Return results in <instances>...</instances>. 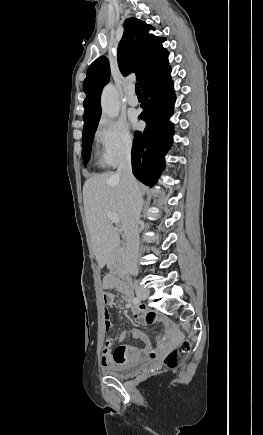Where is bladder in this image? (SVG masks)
Wrapping results in <instances>:
<instances>
[{"instance_id":"31cf9c89","label":"bladder","mask_w":263,"mask_h":435,"mask_svg":"<svg viewBox=\"0 0 263 435\" xmlns=\"http://www.w3.org/2000/svg\"><path fill=\"white\" fill-rule=\"evenodd\" d=\"M149 363L148 360H141L134 363L127 364H117L106 367L104 372L112 377L118 379L129 378L136 373H138L142 368H144Z\"/></svg>"}]
</instances>
